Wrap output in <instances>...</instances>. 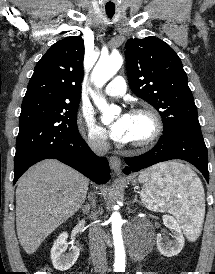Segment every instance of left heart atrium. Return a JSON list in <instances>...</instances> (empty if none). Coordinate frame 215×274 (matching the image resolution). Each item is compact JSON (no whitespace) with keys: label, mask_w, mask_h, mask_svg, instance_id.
Here are the masks:
<instances>
[{"label":"left heart atrium","mask_w":215,"mask_h":274,"mask_svg":"<svg viewBox=\"0 0 215 274\" xmlns=\"http://www.w3.org/2000/svg\"><path fill=\"white\" fill-rule=\"evenodd\" d=\"M130 127V114H120L110 126V136L119 142L128 141V131Z\"/></svg>","instance_id":"39dd6f15"}]
</instances>
